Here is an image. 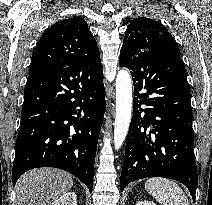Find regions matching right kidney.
<instances>
[{
	"instance_id": "obj_1",
	"label": "right kidney",
	"mask_w": 212,
	"mask_h": 205,
	"mask_svg": "<svg viewBox=\"0 0 212 205\" xmlns=\"http://www.w3.org/2000/svg\"><path fill=\"white\" fill-rule=\"evenodd\" d=\"M50 205H77L76 194L74 192L65 193Z\"/></svg>"
}]
</instances>
